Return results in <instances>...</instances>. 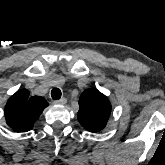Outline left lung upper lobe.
<instances>
[{
  "mask_svg": "<svg viewBox=\"0 0 165 165\" xmlns=\"http://www.w3.org/2000/svg\"><path fill=\"white\" fill-rule=\"evenodd\" d=\"M110 113V101L97 89H88L81 94L78 120L86 130L95 133L104 129Z\"/></svg>",
  "mask_w": 165,
  "mask_h": 165,
  "instance_id": "5c2ea615",
  "label": "left lung upper lobe"
}]
</instances>
